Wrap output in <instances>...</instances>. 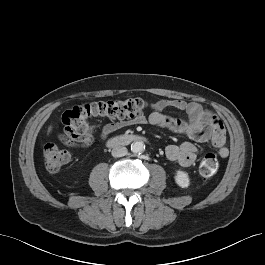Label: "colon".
Instances as JSON below:
<instances>
[{
	"label": "colon",
	"mask_w": 265,
	"mask_h": 265,
	"mask_svg": "<svg viewBox=\"0 0 265 265\" xmlns=\"http://www.w3.org/2000/svg\"><path fill=\"white\" fill-rule=\"evenodd\" d=\"M148 108V102L141 98L125 100L93 102L74 106L62 115L63 129L60 139L67 144L82 145L91 138L93 117H104L113 121L143 116ZM71 159L70 153L54 144H47L44 148L45 166L48 171L60 170ZM203 176H212L219 169V161L215 154L204 155L199 165Z\"/></svg>",
	"instance_id": "obj_1"
}]
</instances>
